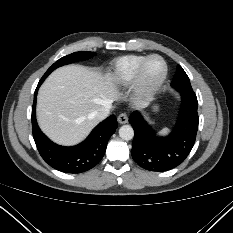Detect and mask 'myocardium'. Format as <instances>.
Listing matches in <instances>:
<instances>
[{"label": "myocardium", "mask_w": 233, "mask_h": 233, "mask_svg": "<svg viewBox=\"0 0 233 233\" xmlns=\"http://www.w3.org/2000/svg\"><path fill=\"white\" fill-rule=\"evenodd\" d=\"M153 58L159 59L163 63L164 68L162 75L157 80L149 81L146 79L145 70L147 64ZM167 75H168V66L166 61L160 55L157 54L148 55L139 66L134 80L136 93L140 96H145V97L151 96L163 85V83L167 78Z\"/></svg>", "instance_id": "myocardium-1"}]
</instances>
